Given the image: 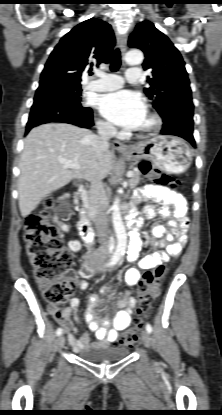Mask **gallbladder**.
<instances>
[{"label": "gallbladder", "instance_id": "obj_1", "mask_svg": "<svg viewBox=\"0 0 222 415\" xmlns=\"http://www.w3.org/2000/svg\"><path fill=\"white\" fill-rule=\"evenodd\" d=\"M75 184H78V181H75Z\"/></svg>", "mask_w": 222, "mask_h": 415}]
</instances>
